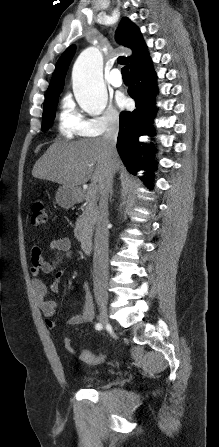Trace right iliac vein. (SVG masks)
<instances>
[{
    "instance_id": "right-iliac-vein-1",
    "label": "right iliac vein",
    "mask_w": 219,
    "mask_h": 447,
    "mask_svg": "<svg viewBox=\"0 0 219 447\" xmlns=\"http://www.w3.org/2000/svg\"><path fill=\"white\" fill-rule=\"evenodd\" d=\"M99 321L103 326H106L109 323L107 309L102 307L99 314Z\"/></svg>"
}]
</instances>
